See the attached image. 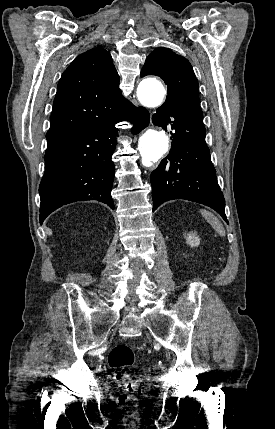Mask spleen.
Returning <instances> with one entry per match:
<instances>
[{
	"instance_id": "1",
	"label": "spleen",
	"mask_w": 275,
	"mask_h": 429,
	"mask_svg": "<svg viewBox=\"0 0 275 429\" xmlns=\"http://www.w3.org/2000/svg\"><path fill=\"white\" fill-rule=\"evenodd\" d=\"M202 216L209 222V224L220 234L221 236H225V229L219 219L214 216L211 212L206 210H201Z\"/></svg>"
}]
</instances>
